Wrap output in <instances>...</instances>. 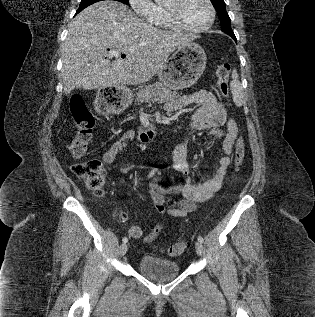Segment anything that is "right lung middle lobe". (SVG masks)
Listing matches in <instances>:
<instances>
[{"label":"right lung middle lobe","instance_id":"obj_1","mask_svg":"<svg viewBox=\"0 0 315 317\" xmlns=\"http://www.w3.org/2000/svg\"><path fill=\"white\" fill-rule=\"evenodd\" d=\"M99 1H102V0H82L80 2V6H79V9L77 10V13L82 11L87 6H89V5L93 4V3L99 2ZM113 1H119V2H122L124 4H129L128 0H113Z\"/></svg>","mask_w":315,"mask_h":317}]
</instances>
